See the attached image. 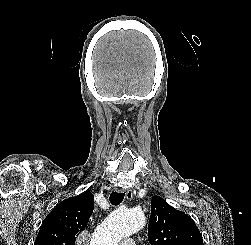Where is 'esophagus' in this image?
I'll use <instances>...</instances> for the list:
<instances>
[{"instance_id":"esophagus-1","label":"esophagus","mask_w":251,"mask_h":245,"mask_svg":"<svg viewBox=\"0 0 251 245\" xmlns=\"http://www.w3.org/2000/svg\"><path fill=\"white\" fill-rule=\"evenodd\" d=\"M125 195H126V198H127L128 200H131V199L133 198V192H132V190H131V189H127V190L125 191Z\"/></svg>"}]
</instances>
